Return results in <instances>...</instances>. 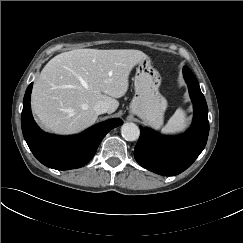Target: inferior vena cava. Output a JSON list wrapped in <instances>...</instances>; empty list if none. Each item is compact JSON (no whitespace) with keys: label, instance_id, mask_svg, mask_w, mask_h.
<instances>
[{"label":"inferior vena cava","instance_id":"inferior-vena-cava-1","mask_svg":"<svg viewBox=\"0 0 243 243\" xmlns=\"http://www.w3.org/2000/svg\"><path fill=\"white\" fill-rule=\"evenodd\" d=\"M94 111L97 114H104L108 112V105L106 102L104 101H98L95 105H94Z\"/></svg>","mask_w":243,"mask_h":243}]
</instances>
